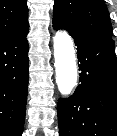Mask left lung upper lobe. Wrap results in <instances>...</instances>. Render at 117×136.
<instances>
[{"label":"left lung upper lobe","instance_id":"1","mask_svg":"<svg viewBox=\"0 0 117 136\" xmlns=\"http://www.w3.org/2000/svg\"><path fill=\"white\" fill-rule=\"evenodd\" d=\"M53 19L74 29L112 38V25L103 0H55Z\"/></svg>","mask_w":117,"mask_h":136}]
</instances>
